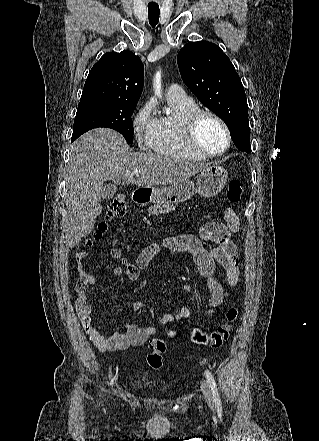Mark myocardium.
<instances>
[{
	"instance_id": "obj_1",
	"label": "myocardium",
	"mask_w": 319,
	"mask_h": 441,
	"mask_svg": "<svg viewBox=\"0 0 319 441\" xmlns=\"http://www.w3.org/2000/svg\"><path fill=\"white\" fill-rule=\"evenodd\" d=\"M205 118H211L215 120L223 129L226 136V144L224 148L218 152H210L201 148L197 142L196 134L200 123ZM182 137L185 146L194 154L204 158L218 157L224 154L231 146L232 137L231 132L226 122L214 112L209 110L198 108L191 112L184 120L182 128Z\"/></svg>"
}]
</instances>
